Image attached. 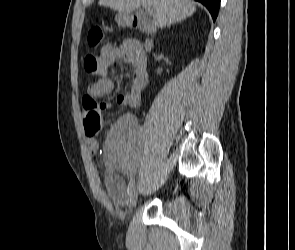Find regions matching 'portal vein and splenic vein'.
Here are the masks:
<instances>
[{
	"instance_id": "portal-vein-and-splenic-vein-1",
	"label": "portal vein and splenic vein",
	"mask_w": 295,
	"mask_h": 250,
	"mask_svg": "<svg viewBox=\"0 0 295 250\" xmlns=\"http://www.w3.org/2000/svg\"><path fill=\"white\" fill-rule=\"evenodd\" d=\"M147 11H148L149 14L153 13V9L151 7H147Z\"/></svg>"
}]
</instances>
